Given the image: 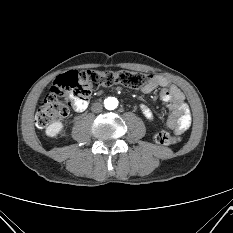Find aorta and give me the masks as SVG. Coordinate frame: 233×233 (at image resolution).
<instances>
[{"mask_svg":"<svg viewBox=\"0 0 233 233\" xmlns=\"http://www.w3.org/2000/svg\"><path fill=\"white\" fill-rule=\"evenodd\" d=\"M118 106V100L114 97H108L106 100H105V107L108 109V110H113L115 108H117Z\"/></svg>","mask_w":233,"mask_h":233,"instance_id":"1","label":"aorta"}]
</instances>
